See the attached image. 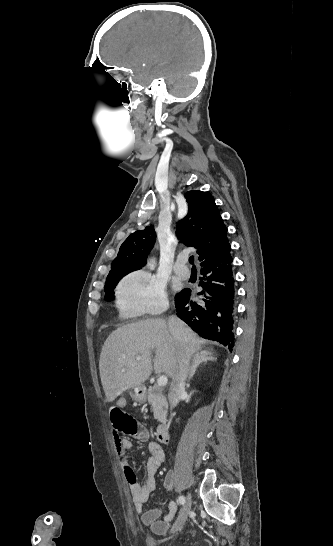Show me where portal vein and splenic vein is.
I'll list each match as a JSON object with an SVG mask.
<instances>
[{
  "label": "portal vein and splenic vein",
  "mask_w": 333,
  "mask_h": 546,
  "mask_svg": "<svg viewBox=\"0 0 333 546\" xmlns=\"http://www.w3.org/2000/svg\"><path fill=\"white\" fill-rule=\"evenodd\" d=\"M141 359H142V357H140V356L136 357V360H138V361L141 360ZM122 371H124V370H122ZM167 382H168L167 376L161 375V376H159V378L157 380V385L158 386H165L167 384Z\"/></svg>",
  "instance_id": "obj_1"
}]
</instances>
